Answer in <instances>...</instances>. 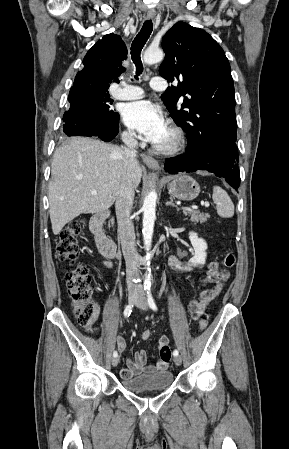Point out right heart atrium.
Listing matches in <instances>:
<instances>
[{
    "instance_id": "d8ad5b80",
    "label": "right heart atrium",
    "mask_w": 289,
    "mask_h": 449,
    "mask_svg": "<svg viewBox=\"0 0 289 449\" xmlns=\"http://www.w3.org/2000/svg\"><path fill=\"white\" fill-rule=\"evenodd\" d=\"M124 138H125L127 141H131V140H132V134H131L130 132H125V133H124Z\"/></svg>"
}]
</instances>
